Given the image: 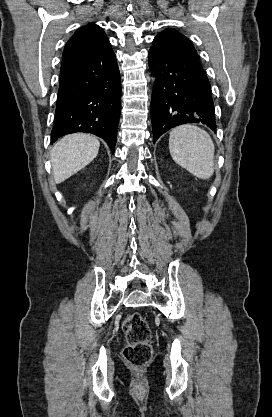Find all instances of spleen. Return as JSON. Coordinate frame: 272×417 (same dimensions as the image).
I'll list each match as a JSON object with an SVG mask.
<instances>
[{
    "label": "spleen",
    "instance_id": "spleen-1",
    "mask_svg": "<svg viewBox=\"0 0 272 417\" xmlns=\"http://www.w3.org/2000/svg\"><path fill=\"white\" fill-rule=\"evenodd\" d=\"M169 151L173 160L200 179L214 173L215 146L210 135L193 125H181L171 130Z\"/></svg>",
    "mask_w": 272,
    "mask_h": 417
}]
</instances>
